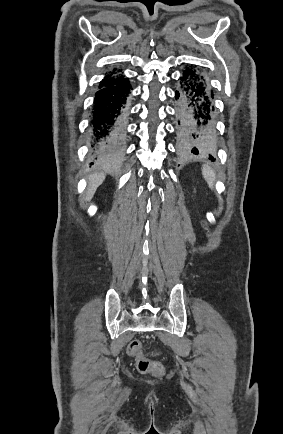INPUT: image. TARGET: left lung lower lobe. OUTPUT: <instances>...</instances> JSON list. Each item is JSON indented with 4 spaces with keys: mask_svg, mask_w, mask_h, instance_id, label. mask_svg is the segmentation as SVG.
<instances>
[{
    "mask_svg": "<svg viewBox=\"0 0 283 434\" xmlns=\"http://www.w3.org/2000/svg\"><path fill=\"white\" fill-rule=\"evenodd\" d=\"M175 111L179 144L195 155L212 150L215 146L214 94L205 75L188 67L183 71L175 91Z\"/></svg>",
    "mask_w": 283,
    "mask_h": 434,
    "instance_id": "left-lung-lower-lobe-1",
    "label": "left lung lower lobe"
}]
</instances>
